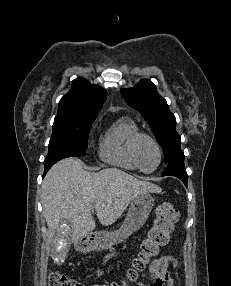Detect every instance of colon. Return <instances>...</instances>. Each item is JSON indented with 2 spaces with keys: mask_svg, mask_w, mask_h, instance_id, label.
Listing matches in <instances>:
<instances>
[{
  "mask_svg": "<svg viewBox=\"0 0 231 286\" xmlns=\"http://www.w3.org/2000/svg\"><path fill=\"white\" fill-rule=\"evenodd\" d=\"M179 220L178 209L170 202H164L157 206L152 226L147 232L146 238L140 245V251L128 269L126 281L120 283L94 284L92 286H123L135 281L138 275L145 270L151 259L156 257L162 246L166 245L169 236ZM48 286H85L82 282L74 280L64 274L53 272L48 277Z\"/></svg>",
  "mask_w": 231,
  "mask_h": 286,
  "instance_id": "obj_1",
  "label": "colon"
}]
</instances>
